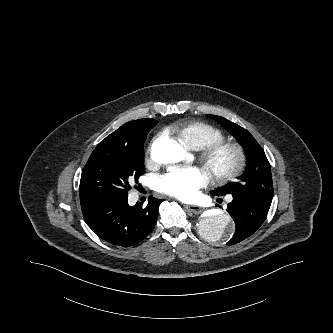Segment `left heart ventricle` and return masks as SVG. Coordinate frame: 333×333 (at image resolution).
<instances>
[{"label":"left heart ventricle","mask_w":333,"mask_h":333,"mask_svg":"<svg viewBox=\"0 0 333 333\" xmlns=\"http://www.w3.org/2000/svg\"><path fill=\"white\" fill-rule=\"evenodd\" d=\"M229 159H230V156L228 154H224V155L220 156L218 162L221 164H225L229 161Z\"/></svg>","instance_id":"b2bd125f"}]
</instances>
